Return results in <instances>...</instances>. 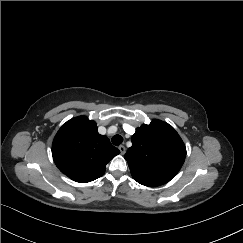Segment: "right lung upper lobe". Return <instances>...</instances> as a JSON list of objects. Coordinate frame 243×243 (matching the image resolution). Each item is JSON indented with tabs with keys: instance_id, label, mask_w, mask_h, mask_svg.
<instances>
[{
	"instance_id": "cb5924a9",
	"label": "right lung upper lobe",
	"mask_w": 243,
	"mask_h": 243,
	"mask_svg": "<svg viewBox=\"0 0 243 243\" xmlns=\"http://www.w3.org/2000/svg\"><path fill=\"white\" fill-rule=\"evenodd\" d=\"M119 153L106 136L98 133L96 123L85 116L67 121L52 144L56 166L70 179L80 183L101 177L106 164Z\"/></svg>"
}]
</instances>
